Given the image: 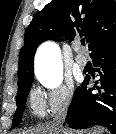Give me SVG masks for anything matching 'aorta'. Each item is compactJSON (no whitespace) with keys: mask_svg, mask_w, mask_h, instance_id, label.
I'll return each mask as SVG.
<instances>
[{"mask_svg":"<svg viewBox=\"0 0 116 134\" xmlns=\"http://www.w3.org/2000/svg\"><path fill=\"white\" fill-rule=\"evenodd\" d=\"M35 72L40 83L57 88L63 80V65L59 47L53 42L41 44L35 55Z\"/></svg>","mask_w":116,"mask_h":134,"instance_id":"762f6f07","label":"aorta"}]
</instances>
